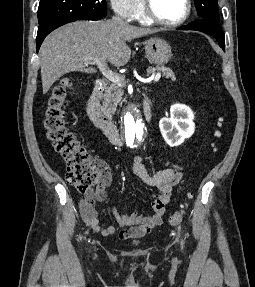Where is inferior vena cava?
Listing matches in <instances>:
<instances>
[{
    "label": "inferior vena cava",
    "instance_id": "1",
    "mask_svg": "<svg viewBox=\"0 0 255 287\" xmlns=\"http://www.w3.org/2000/svg\"><path fill=\"white\" fill-rule=\"evenodd\" d=\"M112 22H116V24H124V20L121 16H113Z\"/></svg>",
    "mask_w": 255,
    "mask_h": 287
}]
</instances>
